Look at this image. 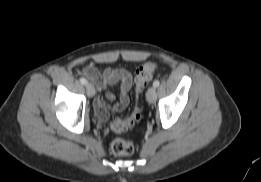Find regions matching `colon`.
I'll use <instances>...</instances> for the list:
<instances>
[{
  "label": "colon",
  "mask_w": 261,
  "mask_h": 182,
  "mask_svg": "<svg viewBox=\"0 0 261 182\" xmlns=\"http://www.w3.org/2000/svg\"><path fill=\"white\" fill-rule=\"evenodd\" d=\"M157 65L154 62H145L136 71L134 80L135 92L139 96L147 83L151 80ZM142 118V110L135 106L124 118H116L111 122V129L116 133H122L134 127ZM110 151L115 155L127 156L134 152V144L129 139H113L110 143Z\"/></svg>",
  "instance_id": "obj_1"
}]
</instances>
